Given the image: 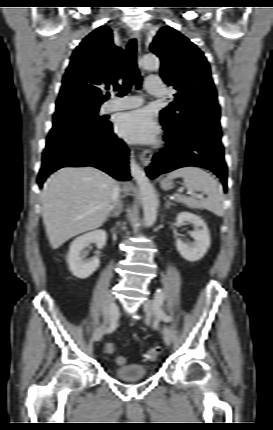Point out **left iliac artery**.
Masks as SVG:
<instances>
[{
  "mask_svg": "<svg viewBox=\"0 0 273 430\" xmlns=\"http://www.w3.org/2000/svg\"><path fill=\"white\" fill-rule=\"evenodd\" d=\"M163 300H164V293L162 292L161 289H158L154 296V303L158 308V317L164 322H170L172 320L171 316L167 315L161 308L163 304Z\"/></svg>",
  "mask_w": 273,
  "mask_h": 430,
  "instance_id": "1",
  "label": "left iliac artery"
}]
</instances>
